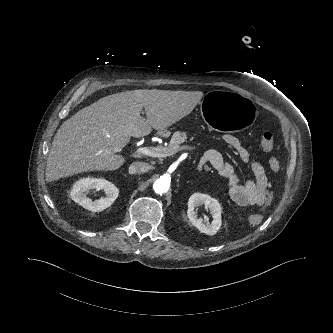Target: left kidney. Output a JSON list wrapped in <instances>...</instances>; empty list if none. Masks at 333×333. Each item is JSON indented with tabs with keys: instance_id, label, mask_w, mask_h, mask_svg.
<instances>
[{
	"instance_id": "left-kidney-1",
	"label": "left kidney",
	"mask_w": 333,
	"mask_h": 333,
	"mask_svg": "<svg viewBox=\"0 0 333 333\" xmlns=\"http://www.w3.org/2000/svg\"><path fill=\"white\" fill-rule=\"evenodd\" d=\"M205 205L206 208H209L212 215L211 224L208 221H202L198 218L195 208L201 205ZM187 216L192 223L199 231L207 235H214L220 229L221 226V206L219 202L210 197L207 194L194 193L190 196L188 200V211Z\"/></svg>"
}]
</instances>
